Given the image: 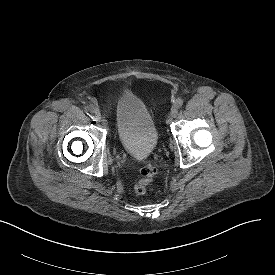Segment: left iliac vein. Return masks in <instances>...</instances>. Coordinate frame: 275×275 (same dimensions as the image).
Wrapping results in <instances>:
<instances>
[{
  "instance_id": "left-iliac-vein-1",
  "label": "left iliac vein",
  "mask_w": 275,
  "mask_h": 275,
  "mask_svg": "<svg viewBox=\"0 0 275 275\" xmlns=\"http://www.w3.org/2000/svg\"><path fill=\"white\" fill-rule=\"evenodd\" d=\"M170 115L172 118L177 117L178 115V107L176 105L172 106Z\"/></svg>"
}]
</instances>
